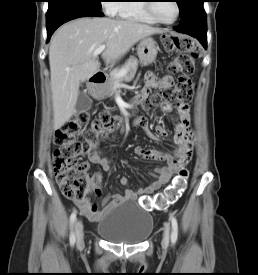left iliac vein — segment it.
<instances>
[{
    "instance_id": "obj_1",
    "label": "left iliac vein",
    "mask_w": 258,
    "mask_h": 275,
    "mask_svg": "<svg viewBox=\"0 0 258 275\" xmlns=\"http://www.w3.org/2000/svg\"><path fill=\"white\" fill-rule=\"evenodd\" d=\"M169 239H170V225L168 223L164 226V233H163V240H162V246L163 248H168L169 246Z\"/></svg>"
}]
</instances>
